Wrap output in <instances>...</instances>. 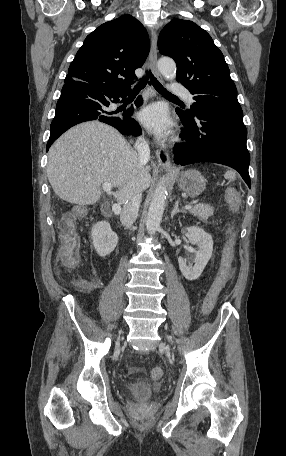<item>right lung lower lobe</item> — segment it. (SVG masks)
<instances>
[{
	"label": "right lung lower lobe",
	"mask_w": 286,
	"mask_h": 456,
	"mask_svg": "<svg viewBox=\"0 0 286 456\" xmlns=\"http://www.w3.org/2000/svg\"><path fill=\"white\" fill-rule=\"evenodd\" d=\"M128 93L108 94L85 83L65 82L56 105L55 117L50 126L47 151L51 144L67 129L90 120L107 123L124 135L138 136L141 133V128L138 122L131 118L133 107L124 110L122 113L108 109L111 103H119V98H125ZM142 102V98L139 97L135 105L138 107Z\"/></svg>",
	"instance_id": "right-lung-lower-lobe-1"
}]
</instances>
